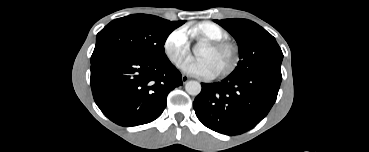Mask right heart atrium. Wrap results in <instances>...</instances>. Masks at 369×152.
<instances>
[{
  "label": "right heart atrium",
  "mask_w": 369,
  "mask_h": 152,
  "mask_svg": "<svg viewBox=\"0 0 369 152\" xmlns=\"http://www.w3.org/2000/svg\"><path fill=\"white\" fill-rule=\"evenodd\" d=\"M163 47L166 57L176 67H180L191 55L188 34L184 28L170 32Z\"/></svg>",
  "instance_id": "right-heart-atrium-1"
}]
</instances>
